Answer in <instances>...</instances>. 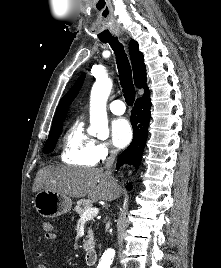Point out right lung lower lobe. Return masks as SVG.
I'll return each instance as SVG.
<instances>
[{"label": "right lung lower lobe", "instance_id": "obj_1", "mask_svg": "<svg viewBox=\"0 0 221 268\" xmlns=\"http://www.w3.org/2000/svg\"><path fill=\"white\" fill-rule=\"evenodd\" d=\"M151 99L150 96H143L136 100L135 107L131 112V124L134 138L131 145L123 151L117 161V168L124 163L133 164L136 168L141 162L143 150L148 137V125L150 121ZM130 190V186H128Z\"/></svg>", "mask_w": 221, "mask_h": 268}]
</instances>
